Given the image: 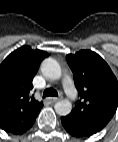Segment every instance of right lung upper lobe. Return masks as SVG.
Masks as SVG:
<instances>
[{"label": "right lung upper lobe", "mask_w": 118, "mask_h": 142, "mask_svg": "<svg viewBox=\"0 0 118 142\" xmlns=\"http://www.w3.org/2000/svg\"><path fill=\"white\" fill-rule=\"evenodd\" d=\"M48 53L22 46L0 64V128L22 134L33 125L42 102L30 96L32 80Z\"/></svg>", "instance_id": "obj_1"}]
</instances>
